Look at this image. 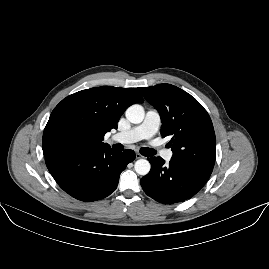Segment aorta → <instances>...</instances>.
Here are the masks:
<instances>
[{"instance_id": "1", "label": "aorta", "mask_w": 269, "mask_h": 269, "mask_svg": "<svg viewBox=\"0 0 269 269\" xmlns=\"http://www.w3.org/2000/svg\"><path fill=\"white\" fill-rule=\"evenodd\" d=\"M126 118L133 124H139L144 120L145 111L143 106L134 104L126 110ZM134 169L139 175H147L151 169V165L146 159H139L134 164Z\"/></svg>"}]
</instances>
